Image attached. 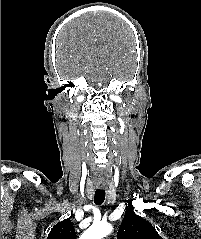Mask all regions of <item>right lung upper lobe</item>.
I'll list each match as a JSON object with an SVG mask.
<instances>
[{
	"label": "right lung upper lobe",
	"mask_w": 201,
	"mask_h": 239,
	"mask_svg": "<svg viewBox=\"0 0 201 239\" xmlns=\"http://www.w3.org/2000/svg\"><path fill=\"white\" fill-rule=\"evenodd\" d=\"M75 229L70 219L57 223L50 231L47 239H75Z\"/></svg>",
	"instance_id": "obj_1"
}]
</instances>
